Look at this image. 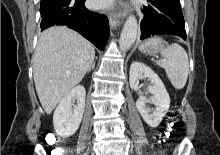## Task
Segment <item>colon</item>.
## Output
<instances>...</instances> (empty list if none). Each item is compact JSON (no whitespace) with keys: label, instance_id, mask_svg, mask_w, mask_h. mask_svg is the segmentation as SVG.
I'll return each instance as SVG.
<instances>
[{"label":"colon","instance_id":"5ec220e1","mask_svg":"<svg viewBox=\"0 0 220 155\" xmlns=\"http://www.w3.org/2000/svg\"><path fill=\"white\" fill-rule=\"evenodd\" d=\"M179 122L177 121L175 115L171 114L169 116V122H168V132L169 133H159L158 134V142L160 145H167L169 142V138L171 137V134L174 130H176L177 124Z\"/></svg>","mask_w":220,"mask_h":155}]
</instances>
